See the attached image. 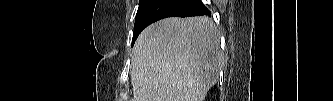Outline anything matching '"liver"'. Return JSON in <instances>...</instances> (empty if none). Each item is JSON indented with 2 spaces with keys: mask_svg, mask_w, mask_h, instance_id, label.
I'll use <instances>...</instances> for the list:
<instances>
[{
  "mask_svg": "<svg viewBox=\"0 0 333 101\" xmlns=\"http://www.w3.org/2000/svg\"><path fill=\"white\" fill-rule=\"evenodd\" d=\"M223 64L208 17L166 18L148 26L132 53V101H204Z\"/></svg>",
  "mask_w": 333,
  "mask_h": 101,
  "instance_id": "1",
  "label": "liver"
}]
</instances>
